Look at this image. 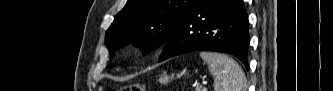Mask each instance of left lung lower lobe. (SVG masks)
I'll list each match as a JSON object with an SVG mask.
<instances>
[{"label":"left lung lower lobe","mask_w":333,"mask_h":91,"mask_svg":"<svg viewBox=\"0 0 333 91\" xmlns=\"http://www.w3.org/2000/svg\"><path fill=\"white\" fill-rule=\"evenodd\" d=\"M248 15L242 0H198L165 43L159 62L191 51L234 55L248 69Z\"/></svg>","instance_id":"1"}]
</instances>
